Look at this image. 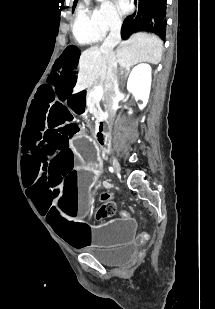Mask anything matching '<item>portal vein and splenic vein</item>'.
<instances>
[{
	"label": "portal vein and splenic vein",
	"instance_id": "portal-vein-and-splenic-vein-1",
	"mask_svg": "<svg viewBox=\"0 0 215 309\" xmlns=\"http://www.w3.org/2000/svg\"><path fill=\"white\" fill-rule=\"evenodd\" d=\"M92 94H94V96H102V94H103L102 86H96V88H95V90H93Z\"/></svg>",
	"mask_w": 215,
	"mask_h": 309
}]
</instances>
